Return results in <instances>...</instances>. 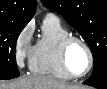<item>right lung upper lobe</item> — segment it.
<instances>
[{
	"label": "right lung upper lobe",
	"mask_w": 107,
	"mask_h": 89,
	"mask_svg": "<svg viewBox=\"0 0 107 89\" xmlns=\"http://www.w3.org/2000/svg\"><path fill=\"white\" fill-rule=\"evenodd\" d=\"M36 11V0H0V19L27 24Z\"/></svg>",
	"instance_id": "obj_1"
}]
</instances>
